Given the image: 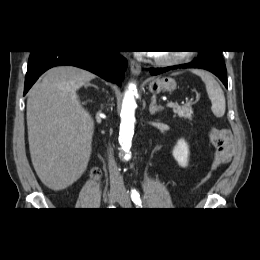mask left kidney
<instances>
[{"label": "left kidney", "instance_id": "5707ae66", "mask_svg": "<svg viewBox=\"0 0 260 260\" xmlns=\"http://www.w3.org/2000/svg\"><path fill=\"white\" fill-rule=\"evenodd\" d=\"M189 147L184 139H179L173 148V157L181 167L188 166Z\"/></svg>", "mask_w": 260, "mask_h": 260}]
</instances>
